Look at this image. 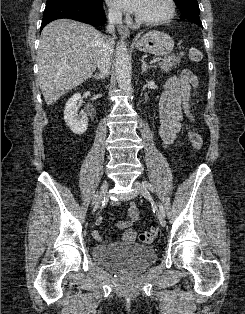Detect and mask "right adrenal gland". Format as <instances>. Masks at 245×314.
I'll list each match as a JSON object with an SVG mask.
<instances>
[{
    "label": "right adrenal gland",
    "mask_w": 245,
    "mask_h": 314,
    "mask_svg": "<svg viewBox=\"0 0 245 314\" xmlns=\"http://www.w3.org/2000/svg\"><path fill=\"white\" fill-rule=\"evenodd\" d=\"M92 77H94L96 80H102L103 76L101 75V73H96L95 75H93Z\"/></svg>",
    "instance_id": "2a0ac1e0"
}]
</instances>
